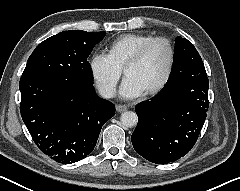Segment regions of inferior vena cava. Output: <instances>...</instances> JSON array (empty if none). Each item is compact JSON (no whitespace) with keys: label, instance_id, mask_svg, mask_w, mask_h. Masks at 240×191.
I'll list each match as a JSON object with an SVG mask.
<instances>
[{"label":"inferior vena cava","instance_id":"obj_1","mask_svg":"<svg viewBox=\"0 0 240 191\" xmlns=\"http://www.w3.org/2000/svg\"><path fill=\"white\" fill-rule=\"evenodd\" d=\"M99 93L103 98H113L115 96V90L113 88L100 89Z\"/></svg>","mask_w":240,"mask_h":191}]
</instances>
